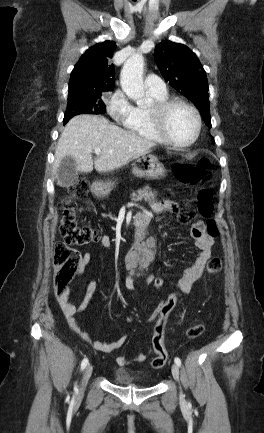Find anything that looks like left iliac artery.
Returning a JSON list of instances; mask_svg holds the SVG:
<instances>
[{
  "mask_svg": "<svg viewBox=\"0 0 264 433\" xmlns=\"http://www.w3.org/2000/svg\"><path fill=\"white\" fill-rule=\"evenodd\" d=\"M174 361H175V363H176L178 366H181V360H180V358L175 357Z\"/></svg>",
  "mask_w": 264,
  "mask_h": 433,
  "instance_id": "44dca946",
  "label": "left iliac artery"
}]
</instances>
